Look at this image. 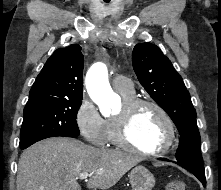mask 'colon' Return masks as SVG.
<instances>
[{"mask_svg":"<svg viewBox=\"0 0 221 190\" xmlns=\"http://www.w3.org/2000/svg\"><path fill=\"white\" fill-rule=\"evenodd\" d=\"M166 190H186L185 183L180 180L169 182L166 186Z\"/></svg>","mask_w":221,"mask_h":190,"instance_id":"obj_1","label":"colon"}]
</instances>
